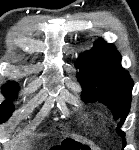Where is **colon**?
Here are the masks:
<instances>
[{
	"mask_svg": "<svg viewBox=\"0 0 139 150\" xmlns=\"http://www.w3.org/2000/svg\"><path fill=\"white\" fill-rule=\"evenodd\" d=\"M50 150H88L84 147H79L75 142L73 141H65L61 145L56 146Z\"/></svg>",
	"mask_w": 139,
	"mask_h": 150,
	"instance_id": "1",
	"label": "colon"
}]
</instances>
